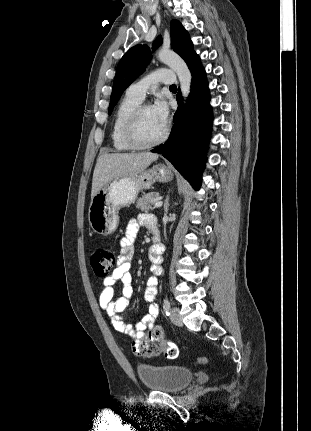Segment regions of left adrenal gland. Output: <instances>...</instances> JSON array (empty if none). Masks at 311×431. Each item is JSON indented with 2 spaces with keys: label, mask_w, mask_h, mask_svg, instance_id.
<instances>
[{
  "label": "left adrenal gland",
  "mask_w": 311,
  "mask_h": 431,
  "mask_svg": "<svg viewBox=\"0 0 311 431\" xmlns=\"http://www.w3.org/2000/svg\"><path fill=\"white\" fill-rule=\"evenodd\" d=\"M169 206H170V204H169V196H167V198H166V200L164 202V206H163L165 214H168V208H169Z\"/></svg>",
  "instance_id": "1"
}]
</instances>
